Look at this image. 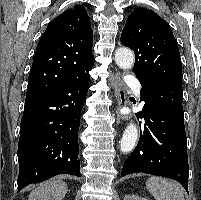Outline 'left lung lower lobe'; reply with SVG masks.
Instances as JSON below:
<instances>
[{
  "mask_svg": "<svg viewBox=\"0 0 201 200\" xmlns=\"http://www.w3.org/2000/svg\"><path fill=\"white\" fill-rule=\"evenodd\" d=\"M182 83L164 81L142 85L144 101L138 117L144 127L136 148L125 161L122 176L143 172L177 180L188 192L187 141L182 107Z\"/></svg>",
  "mask_w": 201,
  "mask_h": 200,
  "instance_id": "1",
  "label": "left lung lower lobe"
}]
</instances>
